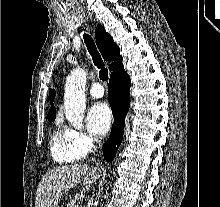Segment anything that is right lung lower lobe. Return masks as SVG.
Segmentation results:
<instances>
[{"label": "right lung lower lobe", "mask_w": 220, "mask_h": 207, "mask_svg": "<svg viewBox=\"0 0 220 207\" xmlns=\"http://www.w3.org/2000/svg\"><path fill=\"white\" fill-rule=\"evenodd\" d=\"M108 99L113 112L114 123L109 139L103 145L104 158L111 162L122 142L125 116L130 104V78L125 72L122 59L111 69Z\"/></svg>", "instance_id": "1"}]
</instances>
